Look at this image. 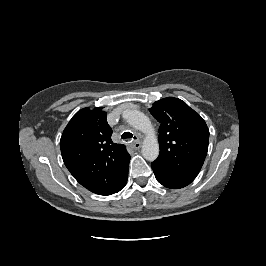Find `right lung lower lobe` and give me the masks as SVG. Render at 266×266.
I'll return each mask as SVG.
<instances>
[{"mask_svg":"<svg viewBox=\"0 0 266 266\" xmlns=\"http://www.w3.org/2000/svg\"><path fill=\"white\" fill-rule=\"evenodd\" d=\"M127 177H128V176H127ZM127 177H126V179L122 182V184L120 185V187L118 188V191H120V190L126 185ZM118 191H117V192H118Z\"/></svg>","mask_w":266,"mask_h":266,"instance_id":"1","label":"right lung lower lobe"}]
</instances>
